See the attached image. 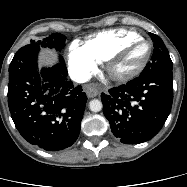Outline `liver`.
Instances as JSON below:
<instances>
[{
	"label": "liver",
	"instance_id": "liver-1",
	"mask_svg": "<svg viewBox=\"0 0 187 187\" xmlns=\"http://www.w3.org/2000/svg\"><path fill=\"white\" fill-rule=\"evenodd\" d=\"M42 59L46 63H52L54 61V52L52 51H43L42 56H41V61Z\"/></svg>",
	"mask_w": 187,
	"mask_h": 187
}]
</instances>
